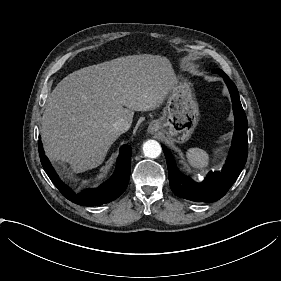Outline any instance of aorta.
Masks as SVG:
<instances>
[{
    "mask_svg": "<svg viewBox=\"0 0 281 281\" xmlns=\"http://www.w3.org/2000/svg\"><path fill=\"white\" fill-rule=\"evenodd\" d=\"M161 151V146L156 140H148L143 144V153L148 158L158 157Z\"/></svg>",
    "mask_w": 281,
    "mask_h": 281,
    "instance_id": "1",
    "label": "aorta"
}]
</instances>
